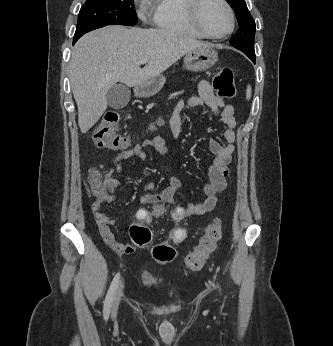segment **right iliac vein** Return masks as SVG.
I'll list each match as a JSON object with an SVG mask.
<instances>
[{"instance_id":"1","label":"right iliac vein","mask_w":333,"mask_h":346,"mask_svg":"<svg viewBox=\"0 0 333 346\" xmlns=\"http://www.w3.org/2000/svg\"><path fill=\"white\" fill-rule=\"evenodd\" d=\"M123 288H124V285L123 283H121L114 293L113 302H112V316L113 317H116L117 315L120 299L123 293Z\"/></svg>"}]
</instances>
